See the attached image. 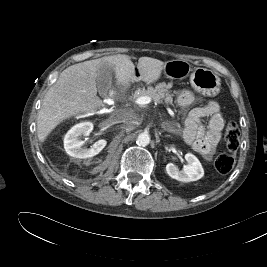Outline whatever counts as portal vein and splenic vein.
Returning <instances> with one entry per match:
<instances>
[{
	"instance_id": "portal-vein-and-splenic-vein-1",
	"label": "portal vein and splenic vein",
	"mask_w": 267,
	"mask_h": 267,
	"mask_svg": "<svg viewBox=\"0 0 267 267\" xmlns=\"http://www.w3.org/2000/svg\"><path fill=\"white\" fill-rule=\"evenodd\" d=\"M151 100L152 99L149 96H141V97H139V98L136 99V104H138V105H146V104L150 103ZM166 109H167L168 113L172 117H174V112L169 107H166Z\"/></svg>"
}]
</instances>
